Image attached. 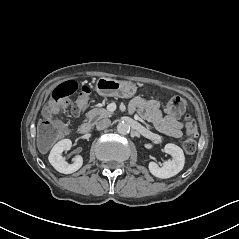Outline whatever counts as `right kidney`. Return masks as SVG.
Wrapping results in <instances>:
<instances>
[{
  "label": "right kidney",
  "mask_w": 239,
  "mask_h": 239,
  "mask_svg": "<svg viewBox=\"0 0 239 239\" xmlns=\"http://www.w3.org/2000/svg\"><path fill=\"white\" fill-rule=\"evenodd\" d=\"M72 142L70 139H63L57 142L49 154L48 160L50 164L60 173L71 174L79 170L83 164V158L80 155L75 156L74 162L69 164L62 156V152L70 150Z\"/></svg>",
  "instance_id": "right-kidney-1"
}]
</instances>
